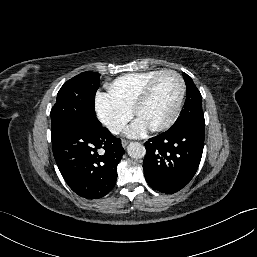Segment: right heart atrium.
I'll list each match as a JSON object with an SVG mask.
<instances>
[{"mask_svg": "<svg viewBox=\"0 0 257 257\" xmlns=\"http://www.w3.org/2000/svg\"><path fill=\"white\" fill-rule=\"evenodd\" d=\"M104 111L113 113V119L108 121ZM96 114L100 122L112 135H119L132 118L133 112L115 103L107 94H98Z\"/></svg>", "mask_w": 257, "mask_h": 257, "instance_id": "d8ad5b80", "label": "right heart atrium"}]
</instances>
